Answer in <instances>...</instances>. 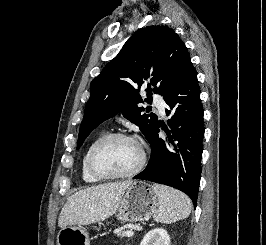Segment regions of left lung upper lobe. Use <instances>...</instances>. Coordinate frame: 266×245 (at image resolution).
Returning <instances> with one entry per match:
<instances>
[{
	"mask_svg": "<svg viewBox=\"0 0 266 245\" xmlns=\"http://www.w3.org/2000/svg\"><path fill=\"white\" fill-rule=\"evenodd\" d=\"M188 57L184 42L168 26L138 30L91 82L77 149L93 129L119 112L138 125L148 140L157 116L143 113L145 109L138 107L144 102L138 90L148 85L149 98H152V87L154 93L163 95Z\"/></svg>",
	"mask_w": 266,
	"mask_h": 245,
	"instance_id": "1",
	"label": "left lung upper lobe"
}]
</instances>
